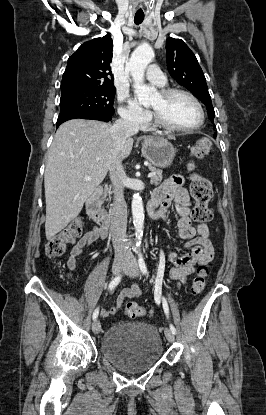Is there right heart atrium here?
Here are the masks:
<instances>
[{
    "mask_svg": "<svg viewBox=\"0 0 266 415\" xmlns=\"http://www.w3.org/2000/svg\"><path fill=\"white\" fill-rule=\"evenodd\" d=\"M119 102V114L124 120L140 127L146 126L150 122L151 114L149 111L126 103L125 96H120Z\"/></svg>",
    "mask_w": 266,
    "mask_h": 415,
    "instance_id": "1",
    "label": "right heart atrium"
}]
</instances>
